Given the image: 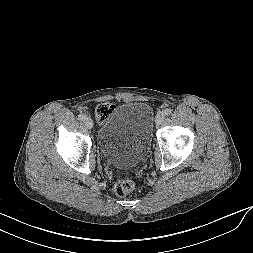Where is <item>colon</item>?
I'll return each mask as SVG.
<instances>
[{
    "label": "colon",
    "mask_w": 253,
    "mask_h": 253,
    "mask_svg": "<svg viewBox=\"0 0 253 253\" xmlns=\"http://www.w3.org/2000/svg\"><path fill=\"white\" fill-rule=\"evenodd\" d=\"M114 106L109 103L101 104L96 109V117L98 120L103 121L107 119L113 112ZM135 188V183L131 179H123L118 181L114 187L113 192L117 196H126Z\"/></svg>",
    "instance_id": "colon-1"
}]
</instances>
